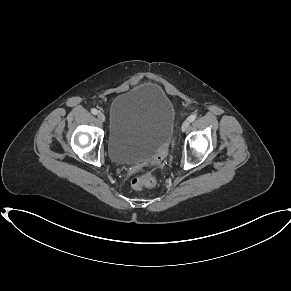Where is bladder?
<instances>
[{"instance_id":"bladder-1","label":"bladder","mask_w":291,"mask_h":291,"mask_svg":"<svg viewBox=\"0 0 291 291\" xmlns=\"http://www.w3.org/2000/svg\"><path fill=\"white\" fill-rule=\"evenodd\" d=\"M175 111L170 99L152 83L118 94L110 106L108 154L119 165L150 160L172 138Z\"/></svg>"}]
</instances>
